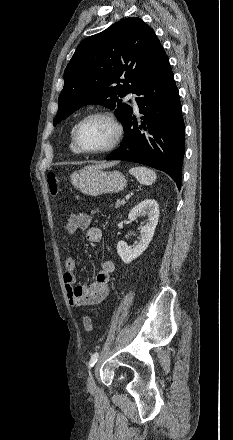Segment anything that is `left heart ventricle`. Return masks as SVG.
Here are the masks:
<instances>
[{
    "label": "left heart ventricle",
    "instance_id": "b2bd125f",
    "mask_svg": "<svg viewBox=\"0 0 233 440\" xmlns=\"http://www.w3.org/2000/svg\"><path fill=\"white\" fill-rule=\"evenodd\" d=\"M112 126L102 118H92L82 124L78 132V143L86 150L107 146L113 138Z\"/></svg>",
    "mask_w": 233,
    "mask_h": 440
}]
</instances>
